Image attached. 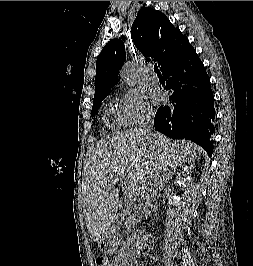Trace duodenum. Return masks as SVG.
<instances>
[{
    "label": "duodenum",
    "mask_w": 253,
    "mask_h": 266,
    "mask_svg": "<svg viewBox=\"0 0 253 266\" xmlns=\"http://www.w3.org/2000/svg\"><path fill=\"white\" fill-rule=\"evenodd\" d=\"M131 263H132L131 258L128 257V256L124 257V258L121 260V264H122V266H131Z\"/></svg>",
    "instance_id": "410a0bca"
}]
</instances>
